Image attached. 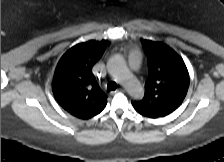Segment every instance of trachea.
Listing matches in <instances>:
<instances>
[{
  "instance_id": "1",
  "label": "trachea",
  "mask_w": 224,
  "mask_h": 162,
  "mask_svg": "<svg viewBox=\"0 0 224 162\" xmlns=\"http://www.w3.org/2000/svg\"><path fill=\"white\" fill-rule=\"evenodd\" d=\"M116 88H117V84H116L114 81H110V82L107 84V89H108V91L116 90Z\"/></svg>"
}]
</instances>
